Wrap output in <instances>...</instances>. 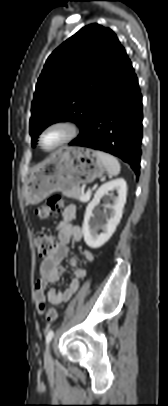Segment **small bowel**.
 I'll use <instances>...</instances> for the list:
<instances>
[{"mask_svg":"<svg viewBox=\"0 0 168 406\" xmlns=\"http://www.w3.org/2000/svg\"><path fill=\"white\" fill-rule=\"evenodd\" d=\"M76 213L77 208L75 206H67L63 210L61 220L56 225L58 243L50 255L44 258L40 264V279L37 281L34 290L37 300L43 298L49 283H54L60 279L64 273V267L61 263L68 255L69 246L74 242L80 241L82 238L80 226L73 223ZM82 257L86 262H91L94 259V254L90 250H85ZM69 264L75 267L74 278L71 279L68 286L62 291L56 288L48 289L47 298L52 304L58 305L68 301L78 291L79 280L85 278L87 275L86 268L78 265V257H71Z\"/></svg>","mask_w":168,"mask_h":406,"instance_id":"small-bowel-1","label":"small bowel"}]
</instances>
